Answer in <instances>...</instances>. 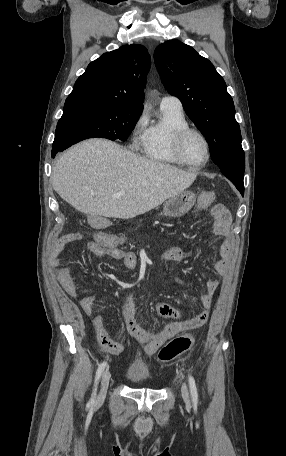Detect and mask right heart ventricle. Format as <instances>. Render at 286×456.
<instances>
[{
  "label": "right heart ventricle",
  "instance_id": "obj_1",
  "mask_svg": "<svg viewBox=\"0 0 286 456\" xmlns=\"http://www.w3.org/2000/svg\"><path fill=\"white\" fill-rule=\"evenodd\" d=\"M189 126L183 111L160 107V118L149 123L139 141L141 152L148 160L171 165L183 164L173 153V133Z\"/></svg>",
  "mask_w": 286,
  "mask_h": 456
}]
</instances>
